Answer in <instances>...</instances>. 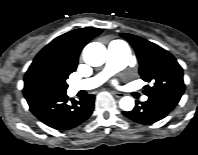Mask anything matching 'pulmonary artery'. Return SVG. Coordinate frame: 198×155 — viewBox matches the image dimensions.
<instances>
[{
    "label": "pulmonary artery",
    "mask_w": 198,
    "mask_h": 155,
    "mask_svg": "<svg viewBox=\"0 0 198 155\" xmlns=\"http://www.w3.org/2000/svg\"><path fill=\"white\" fill-rule=\"evenodd\" d=\"M130 60V51L126 44L120 40H114L108 45L107 63L104 71L95 77L70 82L69 90L77 93L81 90H89L99 86L111 74L123 69ZM147 100L146 96L142 97Z\"/></svg>",
    "instance_id": "e3ab8cb5"
}]
</instances>
